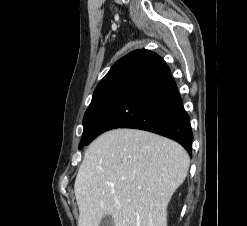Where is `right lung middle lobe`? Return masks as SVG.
Listing matches in <instances>:
<instances>
[{
	"label": "right lung middle lobe",
	"instance_id": "right-lung-middle-lobe-1",
	"mask_svg": "<svg viewBox=\"0 0 247 226\" xmlns=\"http://www.w3.org/2000/svg\"><path fill=\"white\" fill-rule=\"evenodd\" d=\"M122 68L123 65L116 67L112 66L110 71L97 85L92 97V101L84 115V131L79 148L84 146L91 138L93 128L119 79Z\"/></svg>",
	"mask_w": 247,
	"mask_h": 226
}]
</instances>
